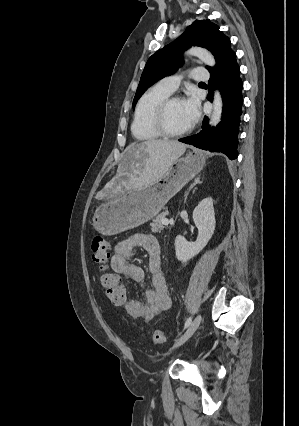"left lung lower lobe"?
<instances>
[{"mask_svg": "<svg viewBox=\"0 0 299 426\" xmlns=\"http://www.w3.org/2000/svg\"><path fill=\"white\" fill-rule=\"evenodd\" d=\"M211 78L208 82L207 99L212 102L213 90L218 87L223 99L222 122L217 128H210L208 118L203 121L202 131L196 135L179 139L180 142L191 144L197 148L211 152H221L231 160L238 156V133L243 97V83L236 54L228 50L217 61L216 67L210 69Z\"/></svg>", "mask_w": 299, "mask_h": 426, "instance_id": "left-lung-lower-lobe-1", "label": "left lung lower lobe"}]
</instances>
